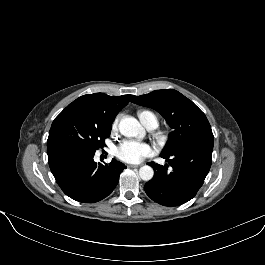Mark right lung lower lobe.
I'll return each instance as SVG.
<instances>
[{
	"label": "right lung lower lobe",
	"mask_w": 265,
	"mask_h": 265,
	"mask_svg": "<svg viewBox=\"0 0 265 265\" xmlns=\"http://www.w3.org/2000/svg\"><path fill=\"white\" fill-rule=\"evenodd\" d=\"M52 174L62 191L70 198L93 203L107 197L116 187L126 166L115 160L105 165L94 162L95 151L73 143L47 146Z\"/></svg>",
	"instance_id": "1"
}]
</instances>
